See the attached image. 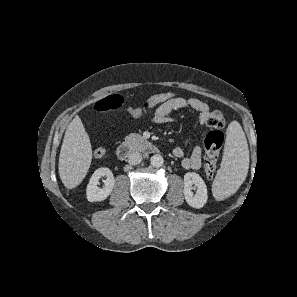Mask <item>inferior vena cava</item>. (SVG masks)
I'll list each match as a JSON object with an SVG mask.
<instances>
[{
  "mask_svg": "<svg viewBox=\"0 0 297 297\" xmlns=\"http://www.w3.org/2000/svg\"><path fill=\"white\" fill-rule=\"evenodd\" d=\"M142 161V155L139 152H131L128 155V163L131 165H137Z\"/></svg>",
  "mask_w": 297,
  "mask_h": 297,
  "instance_id": "inferior-vena-cava-1",
  "label": "inferior vena cava"
}]
</instances>
